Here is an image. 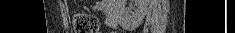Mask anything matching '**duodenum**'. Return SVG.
<instances>
[{
  "instance_id": "obj_1",
  "label": "duodenum",
  "mask_w": 235,
  "mask_h": 33,
  "mask_svg": "<svg viewBox=\"0 0 235 33\" xmlns=\"http://www.w3.org/2000/svg\"><path fill=\"white\" fill-rule=\"evenodd\" d=\"M100 7L103 6L106 12V23L110 27H116L118 23V10L113 1L99 2Z\"/></svg>"
}]
</instances>
